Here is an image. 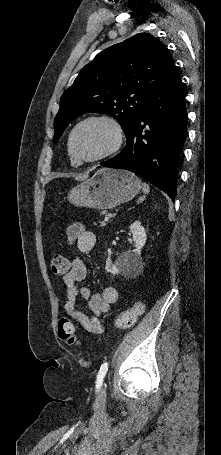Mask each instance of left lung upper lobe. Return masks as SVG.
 Listing matches in <instances>:
<instances>
[{"mask_svg": "<svg viewBox=\"0 0 221 455\" xmlns=\"http://www.w3.org/2000/svg\"><path fill=\"white\" fill-rule=\"evenodd\" d=\"M173 68L171 54L148 33L105 49L61 96L53 141L72 120L88 112L113 116L127 137L139 112Z\"/></svg>", "mask_w": 221, "mask_h": 455, "instance_id": "1", "label": "left lung upper lobe"}]
</instances>
